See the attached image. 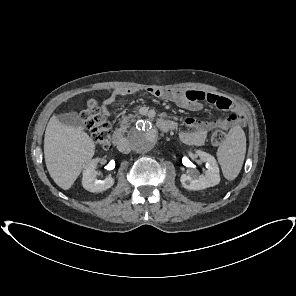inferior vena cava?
Masks as SVG:
<instances>
[{
    "label": "inferior vena cava",
    "instance_id": "1",
    "mask_svg": "<svg viewBox=\"0 0 296 296\" xmlns=\"http://www.w3.org/2000/svg\"><path fill=\"white\" fill-rule=\"evenodd\" d=\"M118 149L123 153H129L131 150L130 143L127 139H123L118 145Z\"/></svg>",
    "mask_w": 296,
    "mask_h": 296
}]
</instances>
